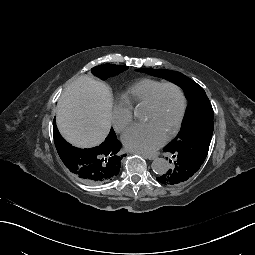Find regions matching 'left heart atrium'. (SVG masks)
<instances>
[{
    "label": "left heart atrium",
    "mask_w": 255,
    "mask_h": 255,
    "mask_svg": "<svg viewBox=\"0 0 255 255\" xmlns=\"http://www.w3.org/2000/svg\"><path fill=\"white\" fill-rule=\"evenodd\" d=\"M124 146L134 152L151 153L166 142V137L156 131L150 124H136L122 136Z\"/></svg>",
    "instance_id": "39dd6f15"
}]
</instances>
